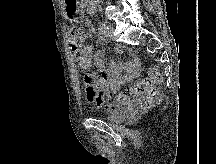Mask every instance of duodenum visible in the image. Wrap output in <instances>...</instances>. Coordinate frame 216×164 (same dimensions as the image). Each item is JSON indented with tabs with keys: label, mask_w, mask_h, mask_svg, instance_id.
<instances>
[{
	"label": "duodenum",
	"mask_w": 216,
	"mask_h": 164,
	"mask_svg": "<svg viewBox=\"0 0 216 164\" xmlns=\"http://www.w3.org/2000/svg\"><path fill=\"white\" fill-rule=\"evenodd\" d=\"M86 1V3H90V1L91 0H85ZM88 7H90L91 6V4H86Z\"/></svg>",
	"instance_id": "duodenum-1"
}]
</instances>
